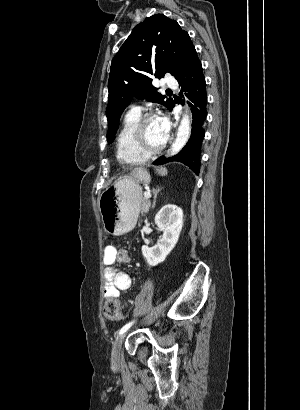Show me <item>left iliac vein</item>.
<instances>
[{
  "label": "left iliac vein",
  "instance_id": "obj_1",
  "mask_svg": "<svg viewBox=\"0 0 300 410\" xmlns=\"http://www.w3.org/2000/svg\"><path fill=\"white\" fill-rule=\"evenodd\" d=\"M125 338V334L119 335L113 343L111 352V361L113 364H119L121 360V349Z\"/></svg>",
  "mask_w": 300,
  "mask_h": 410
}]
</instances>
